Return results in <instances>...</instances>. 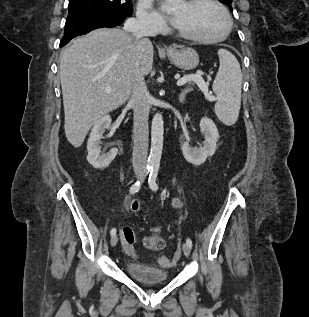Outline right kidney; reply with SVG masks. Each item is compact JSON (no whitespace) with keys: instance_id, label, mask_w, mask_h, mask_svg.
<instances>
[{"instance_id":"obj_1","label":"right kidney","mask_w":309,"mask_h":317,"mask_svg":"<svg viewBox=\"0 0 309 317\" xmlns=\"http://www.w3.org/2000/svg\"><path fill=\"white\" fill-rule=\"evenodd\" d=\"M110 125L111 118L103 116L94 124L87 142V161L96 169H104L109 166L118 153L117 148H112L107 154L100 152L101 139Z\"/></svg>"}]
</instances>
